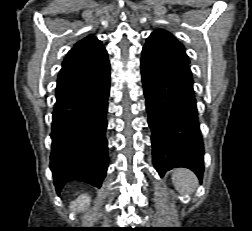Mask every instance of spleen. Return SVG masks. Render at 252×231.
Segmentation results:
<instances>
[{
    "label": "spleen",
    "instance_id": "spleen-1",
    "mask_svg": "<svg viewBox=\"0 0 252 231\" xmlns=\"http://www.w3.org/2000/svg\"><path fill=\"white\" fill-rule=\"evenodd\" d=\"M172 182L176 190L182 195L193 193L198 186L196 175L185 168H178L173 171Z\"/></svg>",
    "mask_w": 252,
    "mask_h": 231
}]
</instances>
